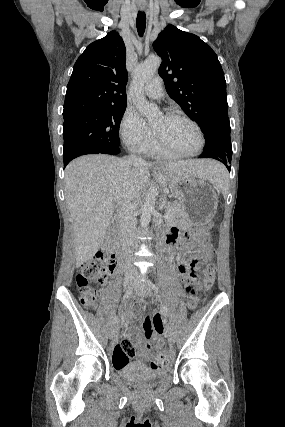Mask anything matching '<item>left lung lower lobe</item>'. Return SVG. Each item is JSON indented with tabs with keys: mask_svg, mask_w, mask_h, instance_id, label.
Here are the masks:
<instances>
[{
	"mask_svg": "<svg viewBox=\"0 0 285 427\" xmlns=\"http://www.w3.org/2000/svg\"><path fill=\"white\" fill-rule=\"evenodd\" d=\"M230 125H211L202 130L206 143L199 158L216 159L229 168L232 158Z\"/></svg>",
	"mask_w": 285,
	"mask_h": 427,
	"instance_id": "0a47b994",
	"label": "left lung lower lobe"
}]
</instances>
